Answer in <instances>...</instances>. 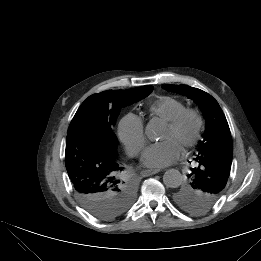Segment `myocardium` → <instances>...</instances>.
Listing matches in <instances>:
<instances>
[{
    "label": "myocardium",
    "instance_id": "myocardium-1",
    "mask_svg": "<svg viewBox=\"0 0 261 261\" xmlns=\"http://www.w3.org/2000/svg\"><path fill=\"white\" fill-rule=\"evenodd\" d=\"M192 118L195 121V129L192 136L183 144L185 149L195 146L201 138L204 118L197 108H185L178 113L173 119L168 121V125L174 129L180 128L187 119Z\"/></svg>",
    "mask_w": 261,
    "mask_h": 261
}]
</instances>
